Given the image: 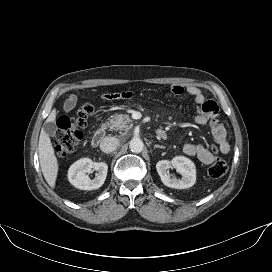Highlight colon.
I'll list each match as a JSON object with an SVG mask.
<instances>
[{"instance_id": "colon-1", "label": "colon", "mask_w": 272, "mask_h": 272, "mask_svg": "<svg viewBox=\"0 0 272 272\" xmlns=\"http://www.w3.org/2000/svg\"><path fill=\"white\" fill-rule=\"evenodd\" d=\"M93 106L89 103L81 105L74 115L62 116L57 121V132L53 141L54 152L59 157L72 154L82 139V128ZM228 170L227 163L220 157H215L209 167V174L213 178H220Z\"/></svg>"}]
</instances>
